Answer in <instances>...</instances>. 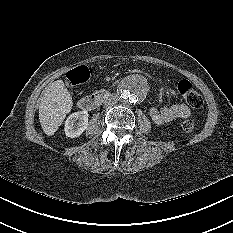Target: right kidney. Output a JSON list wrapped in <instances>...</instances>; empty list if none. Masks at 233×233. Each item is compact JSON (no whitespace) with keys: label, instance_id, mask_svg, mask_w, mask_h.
I'll return each instance as SVG.
<instances>
[{"label":"right kidney","instance_id":"right-kidney-1","mask_svg":"<svg viewBox=\"0 0 233 233\" xmlns=\"http://www.w3.org/2000/svg\"><path fill=\"white\" fill-rule=\"evenodd\" d=\"M88 111H78L72 113L65 121V134L67 137H79L88 126Z\"/></svg>","mask_w":233,"mask_h":233}]
</instances>
